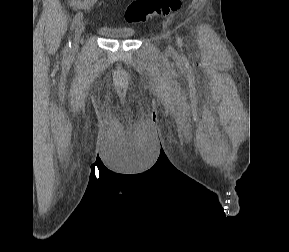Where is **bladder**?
Returning <instances> with one entry per match:
<instances>
[{
    "instance_id": "1",
    "label": "bladder",
    "mask_w": 289,
    "mask_h": 252,
    "mask_svg": "<svg viewBox=\"0 0 289 252\" xmlns=\"http://www.w3.org/2000/svg\"><path fill=\"white\" fill-rule=\"evenodd\" d=\"M99 33L110 39H130L134 36L135 32L131 28H114L109 26H101L98 29Z\"/></svg>"
}]
</instances>
